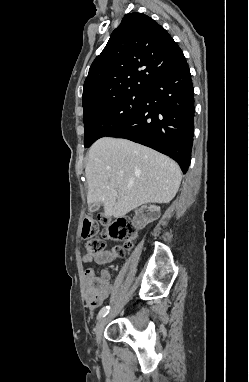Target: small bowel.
I'll list each match as a JSON object with an SVG mask.
<instances>
[{"mask_svg":"<svg viewBox=\"0 0 249 382\" xmlns=\"http://www.w3.org/2000/svg\"><path fill=\"white\" fill-rule=\"evenodd\" d=\"M116 258V254L112 251H101L98 254H86L83 256L84 262L94 261L97 264H106L113 261ZM110 278V273L108 270H103L101 274L94 279L91 275L86 273V283H85V291H86V304L89 310L92 312L97 307H99L104 299L108 296L109 291L101 298L96 299L94 296L97 292L95 287V283H103L107 282Z\"/></svg>","mask_w":249,"mask_h":382,"instance_id":"small-bowel-1","label":"small bowel"}]
</instances>
